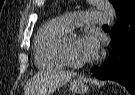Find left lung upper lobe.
<instances>
[{"mask_svg": "<svg viewBox=\"0 0 135 95\" xmlns=\"http://www.w3.org/2000/svg\"><path fill=\"white\" fill-rule=\"evenodd\" d=\"M116 10L117 19L135 8V0H110Z\"/></svg>", "mask_w": 135, "mask_h": 95, "instance_id": "obj_1", "label": "left lung upper lobe"}]
</instances>
